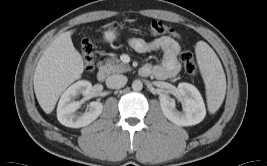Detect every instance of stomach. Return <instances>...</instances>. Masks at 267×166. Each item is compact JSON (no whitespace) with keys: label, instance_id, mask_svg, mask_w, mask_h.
Masks as SVG:
<instances>
[{"label":"stomach","instance_id":"1","mask_svg":"<svg viewBox=\"0 0 267 166\" xmlns=\"http://www.w3.org/2000/svg\"><path fill=\"white\" fill-rule=\"evenodd\" d=\"M117 35V29L110 27L107 31L104 32V40L107 42H113L114 40H116Z\"/></svg>","mask_w":267,"mask_h":166}]
</instances>
